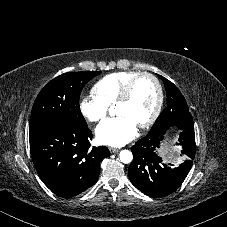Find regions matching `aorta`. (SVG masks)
Segmentation results:
<instances>
[{
  "instance_id": "aorta-1",
  "label": "aorta",
  "mask_w": 227,
  "mask_h": 227,
  "mask_svg": "<svg viewBox=\"0 0 227 227\" xmlns=\"http://www.w3.org/2000/svg\"><path fill=\"white\" fill-rule=\"evenodd\" d=\"M121 162L128 164L132 161L133 155L129 150H122L119 154Z\"/></svg>"
}]
</instances>
